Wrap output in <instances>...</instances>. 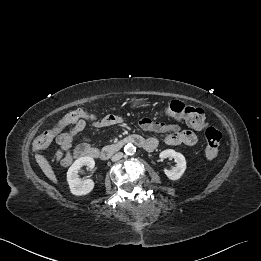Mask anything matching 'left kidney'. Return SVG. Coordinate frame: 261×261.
<instances>
[{
  "instance_id": "left-kidney-1",
  "label": "left kidney",
  "mask_w": 261,
  "mask_h": 261,
  "mask_svg": "<svg viewBox=\"0 0 261 261\" xmlns=\"http://www.w3.org/2000/svg\"><path fill=\"white\" fill-rule=\"evenodd\" d=\"M160 158H173L176 162V166L172 170L165 169L164 172L170 180H178L181 178L186 170V159L181 154L172 149L164 150L160 153Z\"/></svg>"
}]
</instances>
